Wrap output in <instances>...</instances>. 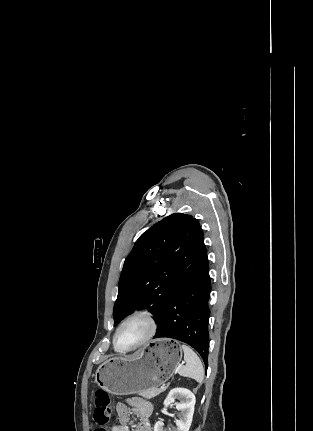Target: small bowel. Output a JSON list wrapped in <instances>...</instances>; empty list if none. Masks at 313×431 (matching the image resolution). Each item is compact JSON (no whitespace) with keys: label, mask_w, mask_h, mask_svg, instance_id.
<instances>
[{"label":"small bowel","mask_w":313,"mask_h":431,"mask_svg":"<svg viewBox=\"0 0 313 431\" xmlns=\"http://www.w3.org/2000/svg\"><path fill=\"white\" fill-rule=\"evenodd\" d=\"M130 410L139 419L136 431H151L150 416L152 414V405L140 398L129 399L126 404L117 403V423L113 425L112 431H130L128 427Z\"/></svg>","instance_id":"c3829d8e"}]
</instances>
